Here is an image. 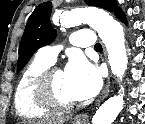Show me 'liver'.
I'll return each mask as SVG.
<instances>
[{
    "label": "liver",
    "mask_w": 145,
    "mask_h": 124,
    "mask_svg": "<svg viewBox=\"0 0 145 124\" xmlns=\"http://www.w3.org/2000/svg\"><path fill=\"white\" fill-rule=\"evenodd\" d=\"M66 122V118L64 117H57L54 119H48V120H41L32 124H64Z\"/></svg>",
    "instance_id": "1"
}]
</instances>
